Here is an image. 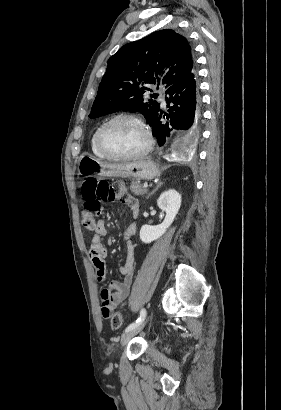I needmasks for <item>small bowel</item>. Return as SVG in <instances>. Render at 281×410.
I'll list each match as a JSON object with an SVG mask.
<instances>
[{
    "instance_id": "1",
    "label": "small bowel",
    "mask_w": 281,
    "mask_h": 410,
    "mask_svg": "<svg viewBox=\"0 0 281 410\" xmlns=\"http://www.w3.org/2000/svg\"><path fill=\"white\" fill-rule=\"evenodd\" d=\"M119 198L130 209L132 216L137 217L139 214L138 201L133 196L125 193ZM94 231L95 233L89 247V258L96 271L98 280L103 281L107 276L105 258L108 254V250L103 242V237L107 233L106 223L103 219L96 222ZM136 231L137 225L135 222H132L127 226L124 233L127 244V258L126 263L119 268L123 281H113L110 289H103L101 291V314L104 318H108L114 309L122 306L130 293L136 261L132 238Z\"/></svg>"
}]
</instances>
